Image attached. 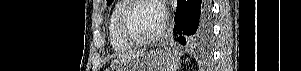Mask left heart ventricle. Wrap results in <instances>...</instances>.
<instances>
[{"mask_svg":"<svg viewBox=\"0 0 301 71\" xmlns=\"http://www.w3.org/2000/svg\"><path fill=\"white\" fill-rule=\"evenodd\" d=\"M163 23V16L158 6L150 2H141L129 13L128 26L138 38L154 35Z\"/></svg>","mask_w":301,"mask_h":71,"instance_id":"b2bd125f","label":"left heart ventricle"}]
</instances>
